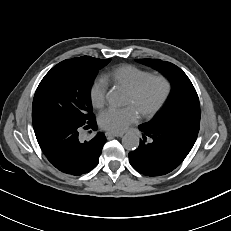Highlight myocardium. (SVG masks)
<instances>
[{"mask_svg": "<svg viewBox=\"0 0 231 231\" xmlns=\"http://www.w3.org/2000/svg\"><path fill=\"white\" fill-rule=\"evenodd\" d=\"M154 79L161 80L164 83L165 91H164L163 96L161 97V99L158 101V103L155 106H153L151 109L140 114L141 118L143 119H148L154 116L167 102L172 92V83L170 79L163 74H150L128 90L129 94H131L132 96H137L142 91V89L145 87V85L149 81L154 80Z\"/></svg>", "mask_w": 231, "mask_h": 231, "instance_id": "1", "label": "myocardium"}]
</instances>
